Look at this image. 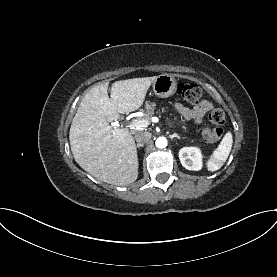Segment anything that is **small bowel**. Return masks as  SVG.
<instances>
[{
    "instance_id": "small-bowel-1",
    "label": "small bowel",
    "mask_w": 277,
    "mask_h": 277,
    "mask_svg": "<svg viewBox=\"0 0 277 277\" xmlns=\"http://www.w3.org/2000/svg\"><path fill=\"white\" fill-rule=\"evenodd\" d=\"M213 108V104L208 100H203L196 104L193 108H187L177 103L174 105V110L185 119H192L200 123L204 115Z\"/></svg>"
}]
</instances>
